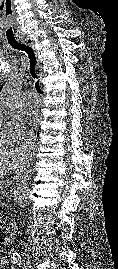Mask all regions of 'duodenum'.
Segmentation results:
<instances>
[{
  "label": "duodenum",
  "instance_id": "duodenum-1",
  "mask_svg": "<svg viewBox=\"0 0 118 269\" xmlns=\"http://www.w3.org/2000/svg\"><path fill=\"white\" fill-rule=\"evenodd\" d=\"M19 228V223L15 221H9L6 223L5 231L7 234L11 235L17 232Z\"/></svg>",
  "mask_w": 118,
  "mask_h": 269
}]
</instances>
